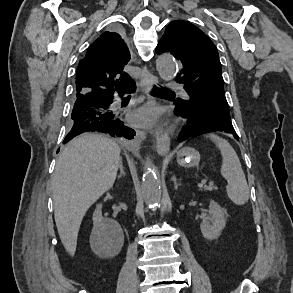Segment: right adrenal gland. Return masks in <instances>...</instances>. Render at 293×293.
<instances>
[{
  "label": "right adrenal gland",
  "instance_id": "2a0ac1e0",
  "mask_svg": "<svg viewBox=\"0 0 293 293\" xmlns=\"http://www.w3.org/2000/svg\"><path fill=\"white\" fill-rule=\"evenodd\" d=\"M119 168H120V173L118 175V179H120L122 176H125L122 160L120 161Z\"/></svg>",
  "mask_w": 293,
  "mask_h": 293
}]
</instances>
